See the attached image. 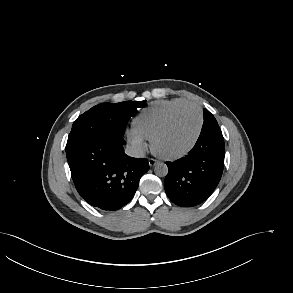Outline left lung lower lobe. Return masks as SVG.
I'll return each instance as SVG.
<instances>
[{"label": "left lung lower lobe", "instance_id": "0a47b994", "mask_svg": "<svg viewBox=\"0 0 293 293\" xmlns=\"http://www.w3.org/2000/svg\"><path fill=\"white\" fill-rule=\"evenodd\" d=\"M224 138L219 126L202 129L194 148L184 158L167 162L164 188L178 206L204 202L217 187L224 167Z\"/></svg>", "mask_w": 293, "mask_h": 293}]
</instances>
